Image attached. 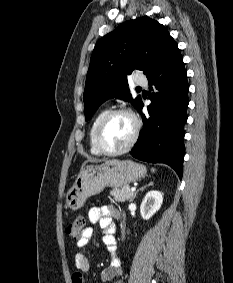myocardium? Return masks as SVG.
Listing matches in <instances>:
<instances>
[{
	"mask_svg": "<svg viewBox=\"0 0 233 283\" xmlns=\"http://www.w3.org/2000/svg\"><path fill=\"white\" fill-rule=\"evenodd\" d=\"M119 114H126V115L131 117V119L134 122V132H133L131 139L129 140V142L124 147H122L118 150H108L103 146V144L101 142V136H102L103 130H104L106 124L109 122V120L112 117L119 115ZM140 131H141V121L138 118V116L131 109L126 108V107L112 109V110H110L106 113V115L102 118V120L100 121V123L98 124V126L96 128L95 137H94L95 146H96L97 150L103 155H107V156L120 155V154H123V153L129 151L135 145V143L137 142L138 137L140 135Z\"/></svg>",
	"mask_w": 233,
	"mask_h": 283,
	"instance_id": "obj_1",
	"label": "myocardium"
}]
</instances>
